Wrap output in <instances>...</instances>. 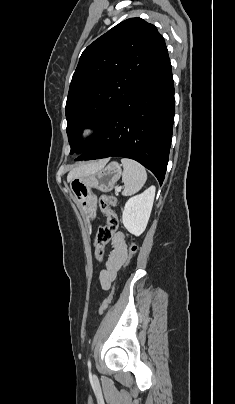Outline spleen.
I'll use <instances>...</instances> for the list:
<instances>
[{"instance_id": "1", "label": "spleen", "mask_w": 235, "mask_h": 404, "mask_svg": "<svg viewBox=\"0 0 235 404\" xmlns=\"http://www.w3.org/2000/svg\"><path fill=\"white\" fill-rule=\"evenodd\" d=\"M123 166L122 181L125 185L123 195L129 196L138 192L147 180L145 168L138 162L123 158L121 160Z\"/></svg>"}]
</instances>
